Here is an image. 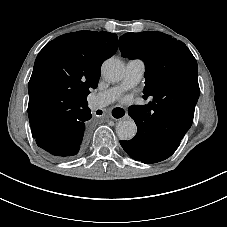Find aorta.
<instances>
[{"mask_svg":"<svg viewBox=\"0 0 227 227\" xmlns=\"http://www.w3.org/2000/svg\"><path fill=\"white\" fill-rule=\"evenodd\" d=\"M124 64L117 58L110 57L106 59L101 68L103 77L111 82H118L124 76ZM116 132L121 140H131L137 132V126L132 119L119 121L116 126Z\"/></svg>","mask_w":227,"mask_h":227,"instance_id":"1","label":"aorta"}]
</instances>
